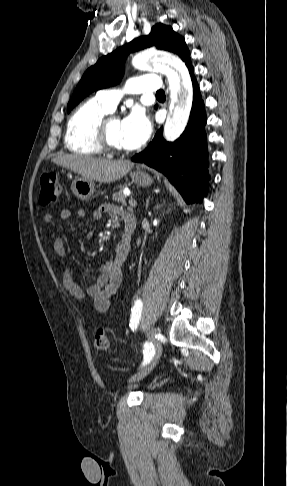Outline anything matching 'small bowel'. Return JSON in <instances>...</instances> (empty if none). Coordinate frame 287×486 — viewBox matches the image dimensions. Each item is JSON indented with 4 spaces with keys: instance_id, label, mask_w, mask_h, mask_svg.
Segmentation results:
<instances>
[{
    "instance_id": "1",
    "label": "small bowel",
    "mask_w": 287,
    "mask_h": 486,
    "mask_svg": "<svg viewBox=\"0 0 287 486\" xmlns=\"http://www.w3.org/2000/svg\"><path fill=\"white\" fill-rule=\"evenodd\" d=\"M120 215L125 218L128 213L121 210L114 204H103L98 209L92 212V218L94 220H100L104 215ZM86 216L85 210L78 208L75 210L63 209L60 212V218L62 220H70L72 217L82 219ZM55 217L52 214H46L43 217V222L46 225H50L54 222ZM92 234H88L90 238ZM53 248L58 257L65 259L67 255L66 244L63 238L58 237L55 239ZM130 249V241L123 243L122 238L118 242L114 256L91 269L87 278H92L85 287L76 283L73 279L70 269L65 266L62 273V283L65 290L76 299H84L90 297L94 299L95 307L101 313H105L109 310L110 299L116 294L119 286L122 282V267L127 260Z\"/></svg>"
}]
</instances>
